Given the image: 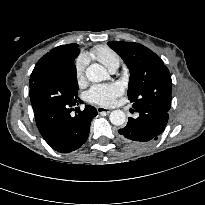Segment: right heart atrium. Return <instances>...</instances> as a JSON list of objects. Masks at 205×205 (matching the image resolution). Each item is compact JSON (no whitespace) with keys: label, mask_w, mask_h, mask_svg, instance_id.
Masks as SVG:
<instances>
[{"label":"right heart atrium","mask_w":205,"mask_h":205,"mask_svg":"<svg viewBox=\"0 0 205 205\" xmlns=\"http://www.w3.org/2000/svg\"><path fill=\"white\" fill-rule=\"evenodd\" d=\"M87 58L85 55H79L75 62V77L79 83L84 81Z\"/></svg>","instance_id":"obj_1"}]
</instances>
